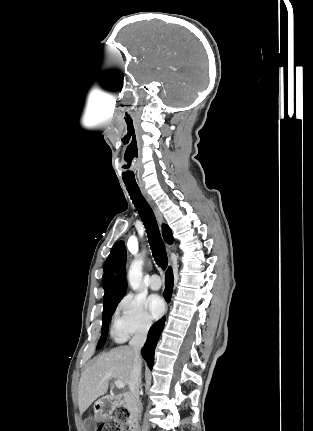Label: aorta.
Listing matches in <instances>:
<instances>
[{"label":"aorta","mask_w":313,"mask_h":431,"mask_svg":"<svg viewBox=\"0 0 313 431\" xmlns=\"http://www.w3.org/2000/svg\"><path fill=\"white\" fill-rule=\"evenodd\" d=\"M142 265L143 259H136L130 265L128 272V281L133 290H138L142 282Z\"/></svg>","instance_id":"762f6f07"}]
</instances>
